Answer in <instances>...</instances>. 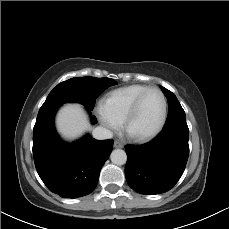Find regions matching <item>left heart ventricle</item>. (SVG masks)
<instances>
[{"label": "left heart ventricle", "mask_w": 229, "mask_h": 229, "mask_svg": "<svg viewBox=\"0 0 229 229\" xmlns=\"http://www.w3.org/2000/svg\"><path fill=\"white\" fill-rule=\"evenodd\" d=\"M163 110L162 97L158 92L148 93L141 101L129 131L133 134H145L159 123Z\"/></svg>", "instance_id": "1"}]
</instances>
